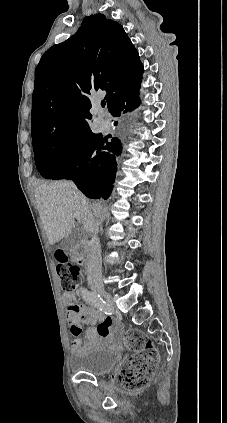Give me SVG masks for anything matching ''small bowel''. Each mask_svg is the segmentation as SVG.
<instances>
[{
  "mask_svg": "<svg viewBox=\"0 0 227 423\" xmlns=\"http://www.w3.org/2000/svg\"><path fill=\"white\" fill-rule=\"evenodd\" d=\"M82 294V289H81ZM63 300L67 305L66 319L70 324V331L74 339L71 343V351L77 353L82 350L79 339L82 329L81 323L88 325L85 331V340L89 347L96 346L110 336L114 320L105 315L102 310L95 306L80 304L73 292H66Z\"/></svg>",
  "mask_w": 227,
  "mask_h": 423,
  "instance_id": "small-bowel-1",
  "label": "small bowel"
}]
</instances>
